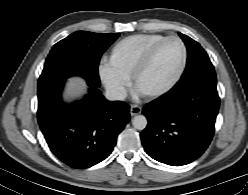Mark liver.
Listing matches in <instances>:
<instances>
[{
  "instance_id": "obj_1",
  "label": "liver",
  "mask_w": 248,
  "mask_h": 195,
  "mask_svg": "<svg viewBox=\"0 0 248 195\" xmlns=\"http://www.w3.org/2000/svg\"><path fill=\"white\" fill-rule=\"evenodd\" d=\"M86 82L83 78L74 76L68 79L64 99L66 101H71L77 97H80L86 92Z\"/></svg>"
}]
</instances>
